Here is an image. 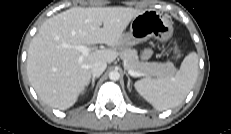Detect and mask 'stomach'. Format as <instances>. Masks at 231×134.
<instances>
[{"instance_id": "obj_1", "label": "stomach", "mask_w": 231, "mask_h": 134, "mask_svg": "<svg viewBox=\"0 0 231 134\" xmlns=\"http://www.w3.org/2000/svg\"><path fill=\"white\" fill-rule=\"evenodd\" d=\"M172 35L173 25L166 16L155 10H145L132 19L130 30L123 34L121 48L134 46L150 38L167 41Z\"/></svg>"}]
</instances>
